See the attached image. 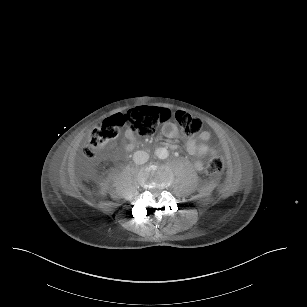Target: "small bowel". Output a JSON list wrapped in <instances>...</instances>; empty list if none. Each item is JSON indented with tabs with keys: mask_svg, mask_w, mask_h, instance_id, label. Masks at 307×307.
Segmentation results:
<instances>
[{
	"mask_svg": "<svg viewBox=\"0 0 307 307\" xmlns=\"http://www.w3.org/2000/svg\"><path fill=\"white\" fill-rule=\"evenodd\" d=\"M162 131H163V134L168 138L177 137L179 134L178 128L172 123L165 124L163 126ZM126 138L128 141V145H127L128 148L129 149L133 148L137 143L135 135L132 132L127 131ZM210 138H211V134L209 131H206V130L201 131L197 136L190 137L186 143L187 151L189 152V154L197 156V157H202L208 153H213L214 150L210 146L207 145V142L210 140ZM169 148L175 149L176 145L169 144ZM195 168L198 171H202L204 168L203 163L201 161H196Z\"/></svg>",
	"mask_w": 307,
	"mask_h": 307,
	"instance_id": "small-bowel-1",
	"label": "small bowel"
}]
</instances>
